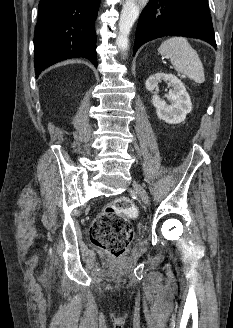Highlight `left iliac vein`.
I'll return each mask as SVG.
<instances>
[{
  "instance_id": "obj_1",
  "label": "left iliac vein",
  "mask_w": 233,
  "mask_h": 328,
  "mask_svg": "<svg viewBox=\"0 0 233 328\" xmlns=\"http://www.w3.org/2000/svg\"><path fill=\"white\" fill-rule=\"evenodd\" d=\"M133 188L136 191V193L139 195V197L142 199V201L145 204H149V196L146 190L144 189V187L141 184L135 182L133 183Z\"/></svg>"
}]
</instances>
